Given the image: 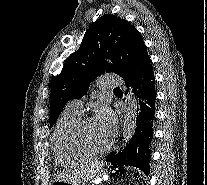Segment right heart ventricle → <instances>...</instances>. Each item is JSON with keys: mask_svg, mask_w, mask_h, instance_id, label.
Wrapping results in <instances>:
<instances>
[{"mask_svg": "<svg viewBox=\"0 0 207 185\" xmlns=\"http://www.w3.org/2000/svg\"><path fill=\"white\" fill-rule=\"evenodd\" d=\"M81 114L66 111L58 120L52 135V146L58 163L77 165L93 156L80 150L74 142L73 131Z\"/></svg>", "mask_w": 207, "mask_h": 185, "instance_id": "right-heart-ventricle-1", "label": "right heart ventricle"}]
</instances>
